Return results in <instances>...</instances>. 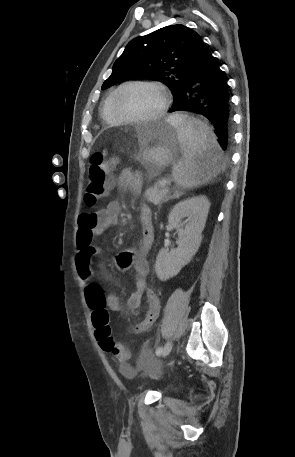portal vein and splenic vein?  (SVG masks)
Here are the masks:
<instances>
[{
    "label": "portal vein and splenic vein",
    "mask_w": 295,
    "mask_h": 457,
    "mask_svg": "<svg viewBox=\"0 0 295 457\" xmlns=\"http://www.w3.org/2000/svg\"><path fill=\"white\" fill-rule=\"evenodd\" d=\"M166 184H167V180L166 179L160 180V185L161 186H165Z\"/></svg>",
    "instance_id": "18ae733b"
}]
</instances>
